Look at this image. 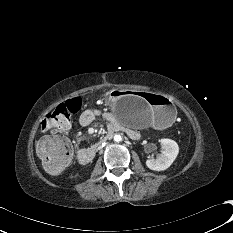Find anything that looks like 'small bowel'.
<instances>
[{"mask_svg": "<svg viewBox=\"0 0 233 233\" xmlns=\"http://www.w3.org/2000/svg\"><path fill=\"white\" fill-rule=\"evenodd\" d=\"M98 117L103 118L105 121L108 122L110 126L117 125V122L111 113L101 110L99 108H89L84 110L78 118V124L80 126H87ZM70 129H71V124L69 123L68 127L66 129H62L61 131L67 132ZM130 131L135 134V131L133 130Z\"/></svg>", "mask_w": 233, "mask_h": 233, "instance_id": "c3829d8e", "label": "small bowel"}]
</instances>
